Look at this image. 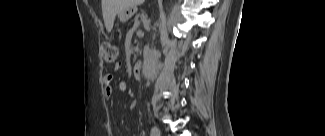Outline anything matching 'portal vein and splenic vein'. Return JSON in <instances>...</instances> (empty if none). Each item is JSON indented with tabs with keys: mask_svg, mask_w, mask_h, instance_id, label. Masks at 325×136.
I'll list each match as a JSON object with an SVG mask.
<instances>
[{
	"mask_svg": "<svg viewBox=\"0 0 325 136\" xmlns=\"http://www.w3.org/2000/svg\"><path fill=\"white\" fill-rule=\"evenodd\" d=\"M140 22L138 20H135L134 26H138Z\"/></svg>",
	"mask_w": 325,
	"mask_h": 136,
	"instance_id": "portal-vein-and-splenic-vein-1",
	"label": "portal vein and splenic vein"
}]
</instances>
